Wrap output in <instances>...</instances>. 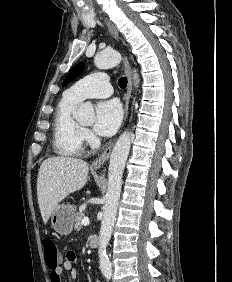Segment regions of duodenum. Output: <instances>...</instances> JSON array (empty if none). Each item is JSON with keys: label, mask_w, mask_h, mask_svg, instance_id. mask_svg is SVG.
Listing matches in <instances>:
<instances>
[{"label": "duodenum", "mask_w": 232, "mask_h": 282, "mask_svg": "<svg viewBox=\"0 0 232 282\" xmlns=\"http://www.w3.org/2000/svg\"><path fill=\"white\" fill-rule=\"evenodd\" d=\"M99 244H100L99 237L96 235L91 236L89 240V246L93 249H96L99 247Z\"/></svg>", "instance_id": "410a0bca"}]
</instances>
